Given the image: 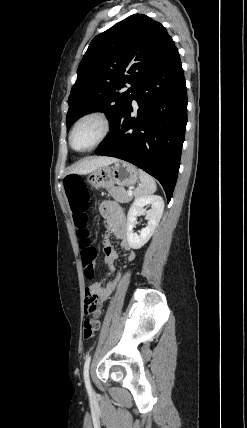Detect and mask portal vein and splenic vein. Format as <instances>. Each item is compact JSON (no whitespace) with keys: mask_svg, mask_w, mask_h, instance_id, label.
Returning <instances> with one entry per match:
<instances>
[{"mask_svg":"<svg viewBox=\"0 0 247 428\" xmlns=\"http://www.w3.org/2000/svg\"><path fill=\"white\" fill-rule=\"evenodd\" d=\"M127 194H128L129 196H132L133 192H132L131 190H128V191H127Z\"/></svg>","mask_w":247,"mask_h":428,"instance_id":"18ae733b","label":"portal vein and splenic vein"}]
</instances>
